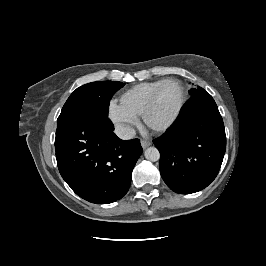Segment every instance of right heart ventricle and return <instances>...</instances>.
I'll return each mask as SVG.
<instances>
[{
  "label": "right heart ventricle",
  "mask_w": 266,
  "mask_h": 266,
  "mask_svg": "<svg viewBox=\"0 0 266 266\" xmlns=\"http://www.w3.org/2000/svg\"><path fill=\"white\" fill-rule=\"evenodd\" d=\"M164 80L144 82L133 86L123 93L121 103L136 116H142L152 93Z\"/></svg>",
  "instance_id": "e07e8e85"
}]
</instances>
